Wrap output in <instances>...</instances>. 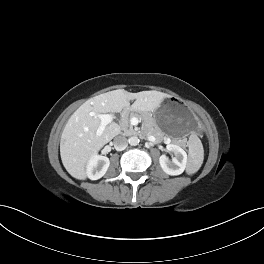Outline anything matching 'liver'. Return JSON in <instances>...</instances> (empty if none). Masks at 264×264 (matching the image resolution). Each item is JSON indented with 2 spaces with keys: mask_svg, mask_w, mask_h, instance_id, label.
Masks as SVG:
<instances>
[{
  "mask_svg": "<svg viewBox=\"0 0 264 264\" xmlns=\"http://www.w3.org/2000/svg\"><path fill=\"white\" fill-rule=\"evenodd\" d=\"M167 97V94L158 91L130 93L119 89L95 96L83 103L71 115L61 135L60 155L67 172L76 179L85 180L86 166L90 158L120 133L119 125L112 122L105 126L101 136H97L100 126L98 114L121 112L130 106L131 100H135L132 110L154 111Z\"/></svg>",
  "mask_w": 264,
  "mask_h": 264,
  "instance_id": "6515ba94",
  "label": "liver"
}]
</instances>
